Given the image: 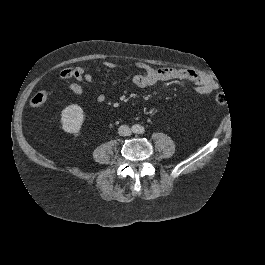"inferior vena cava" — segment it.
I'll return each mask as SVG.
<instances>
[{
    "label": "inferior vena cava",
    "mask_w": 265,
    "mask_h": 265,
    "mask_svg": "<svg viewBox=\"0 0 265 265\" xmlns=\"http://www.w3.org/2000/svg\"><path fill=\"white\" fill-rule=\"evenodd\" d=\"M118 134L121 136H129L131 135V129L127 125H121L118 128Z\"/></svg>",
    "instance_id": "inferior-vena-cava-1"
}]
</instances>
